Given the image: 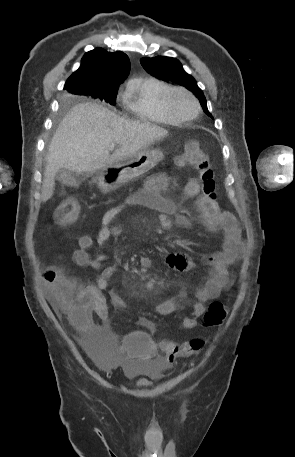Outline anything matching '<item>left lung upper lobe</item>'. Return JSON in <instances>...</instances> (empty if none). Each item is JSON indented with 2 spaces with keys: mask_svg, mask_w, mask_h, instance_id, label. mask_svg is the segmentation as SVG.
Listing matches in <instances>:
<instances>
[{
  "mask_svg": "<svg viewBox=\"0 0 295 457\" xmlns=\"http://www.w3.org/2000/svg\"><path fill=\"white\" fill-rule=\"evenodd\" d=\"M140 62L145 71L150 75L159 79L173 81L193 92L199 98L204 112L212 117L207 109L206 99L202 90L197 86L195 79L184 71L179 60L171 57L157 56L154 58H142Z\"/></svg>",
  "mask_w": 295,
  "mask_h": 457,
  "instance_id": "1",
  "label": "left lung upper lobe"
}]
</instances>
